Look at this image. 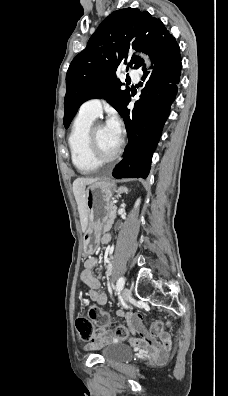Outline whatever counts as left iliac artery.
<instances>
[{"label":"left iliac artery","instance_id":"44dca946","mask_svg":"<svg viewBox=\"0 0 228 396\" xmlns=\"http://www.w3.org/2000/svg\"><path fill=\"white\" fill-rule=\"evenodd\" d=\"M124 284H125V279H124V277H120V278L118 279L117 283H116V290H117L118 292H120V291L123 289Z\"/></svg>","mask_w":228,"mask_h":396}]
</instances>
